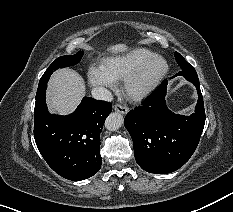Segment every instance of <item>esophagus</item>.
<instances>
[{
    "instance_id": "34e87169",
    "label": "esophagus",
    "mask_w": 233,
    "mask_h": 212,
    "mask_svg": "<svg viewBox=\"0 0 233 212\" xmlns=\"http://www.w3.org/2000/svg\"><path fill=\"white\" fill-rule=\"evenodd\" d=\"M114 110L121 113V114H127L129 111V108L125 105L116 104L114 106Z\"/></svg>"
}]
</instances>
